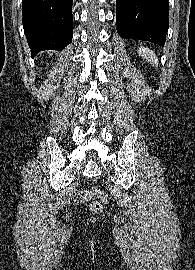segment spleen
<instances>
[{"instance_id": "spleen-1", "label": "spleen", "mask_w": 195, "mask_h": 270, "mask_svg": "<svg viewBox=\"0 0 195 270\" xmlns=\"http://www.w3.org/2000/svg\"><path fill=\"white\" fill-rule=\"evenodd\" d=\"M138 53L146 59L147 62L158 65V59L155 55V53L150 50L149 48H140L138 50Z\"/></svg>"}]
</instances>
